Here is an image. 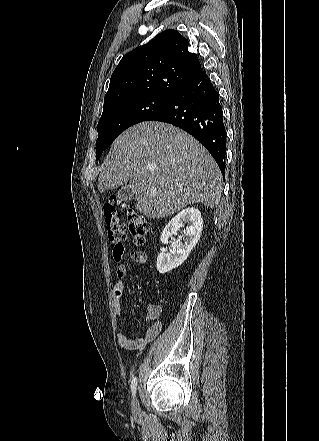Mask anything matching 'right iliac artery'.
<instances>
[{
    "mask_svg": "<svg viewBox=\"0 0 319 441\" xmlns=\"http://www.w3.org/2000/svg\"><path fill=\"white\" fill-rule=\"evenodd\" d=\"M136 388H137V378L133 377V379L131 381V391H132L133 396H135V394H136Z\"/></svg>",
    "mask_w": 319,
    "mask_h": 441,
    "instance_id": "obj_1",
    "label": "right iliac artery"
}]
</instances>
